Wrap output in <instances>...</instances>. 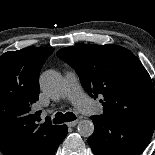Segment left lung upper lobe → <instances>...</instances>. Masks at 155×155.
I'll return each mask as SVG.
<instances>
[{
	"label": "left lung upper lobe",
	"mask_w": 155,
	"mask_h": 155,
	"mask_svg": "<svg viewBox=\"0 0 155 155\" xmlns=\"http://www.w3.org/2000/svg\"><path fill=\"white\" fill-rule=\"evenodd\" d=\"M57 56L78 73L94 99L101 96L108 118H155L151 78L134 54L118 45H78L62 48Z\"/></svg>",
	"instance_id": "5c2ea615"
}]
</instances>
